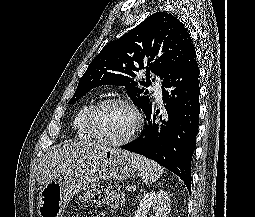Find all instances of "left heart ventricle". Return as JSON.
I'll use <instances>...</instances> for the list:
<instances>
[{
    "mask_svg": "<svg viewBox=\"0 0 255 217\" xmlns=\"http://www.w3.org/2000/svg\"><path fill=\"white\" fill-rule=\"evenodd\" d=\"M94 121L104 137L118 140L128 135L132 130L135 125V116L125 106L108 105L97 112Z\"/></svg>",
    "mask_w": 255,
    "mask_h": 217,
    "instance_id": "b2bd125f",
    "label": "left heart ventricle"
}]
</instances>
